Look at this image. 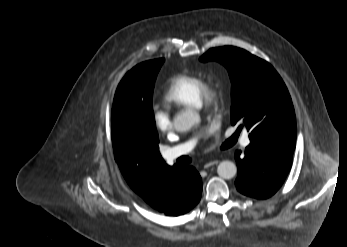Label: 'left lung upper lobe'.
Masks as SVG:
<instances>
[{"instance_id":"1","label":"left lung upper lobe","mask_w":347,"mask_h":247,"mask_svg":"<svg viewBox=\"0 0 347 247\" xmlns=\"http://www.w3.org/2000/svg\"><path fill=\"white\" fill-rule=\"evenodd\" d=\"M200 60H216L229 72L232 125L242 123L238 130L245 126L251 142L295 145L292 100L283 80L268 62L233 46L212 48Z\"/></svg>"}]
</instances>
